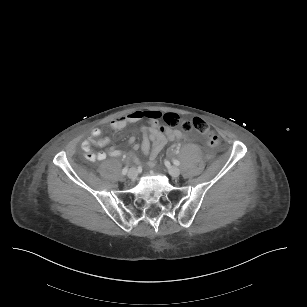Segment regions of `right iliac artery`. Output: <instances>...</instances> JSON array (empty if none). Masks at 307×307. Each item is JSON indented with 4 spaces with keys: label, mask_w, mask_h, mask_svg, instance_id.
<instances>
[{
    "label": "right iliac artery",
    "mask_w": 307,
    "mask_h": 307,
    "mask_svg": "<svg viewBox=\"0 0 307 307\" xmlns=\"http://www.w3.org/2000/svg\"><path fill=\"white\" fill-rule=\"evenodd\" d=\"M127 171H128V167L123 168L122 169V174L125 175L127 173Z\"/></svg>",
    "instance_id": "obj_1"
}]
</instances>
